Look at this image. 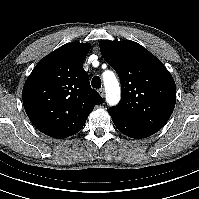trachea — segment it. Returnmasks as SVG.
<instances>
[{"label":"trachea","instance_id":"1","mask_svg":"<svg viewBox=\"0 0 199 199\" xmlns=\"http://www.w3.org/2000/svg\"><path fill=\"white\" fill-rule=\"evenodd\" d=\"M91 85L95 89L101 88V79L98 76H94L91 81Z\"/></svg>","mask_w":199,"mask_h":199}]
</instances>
